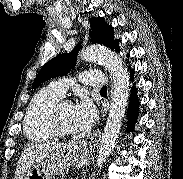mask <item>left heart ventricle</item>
Wrapping results in <instances>:
<instances>
[{
	"label": "left heart ventricle",
	"mask_w": 183,
	"mask_h": 179,
	"mask_svg": "<svg viewBox=\"0 0 183 179\" xmlns=\"http://www.w3.org/2000/svg\"><path fill=\"white\" fill-rule=\"evenodd\" d=\"M58 125L59 127L68 132H76V123L74 118V106L65 105L61 108L58 115Z\"/></svg>",
	"instance_id": "b2bd125f"
}]
</instances>
